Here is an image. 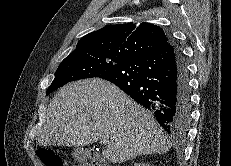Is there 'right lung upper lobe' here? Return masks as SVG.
<instances>
[{"mask_svg": "<svg viewBox=\"0 0 231 166\" xmlns=\"http://www.w3.org/2000/svg\"><path fill=\"white\" fill-rule=\"evenodd\" d=\"M168 43L169 38L159 26L127 23L105 26L85 35L74 51L91 49L126 61L157 51Z\"/></svg>", "mask_w": 231, "mask_h": 166, "instance_id": "right-lung-upper-lobe-1", "label": "right lung upper lobe"}]
</instances>
